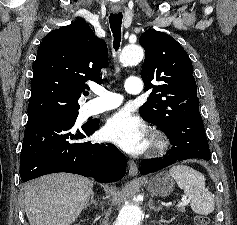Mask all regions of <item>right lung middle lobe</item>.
<instances>
[{
    "label": "right lung middle lobe",
    "instance_id": "right-lung-middle-lobe-1",
    "mask_svg": "<svg viewBox=\"0 0 237 225\" xmlns=\"http://www.w3.org/2000/svg\"><path fill=\"white\" fill-rule=\"evenodd\" d=\"M58 116H59V117L66 118V119H76L77 116H78V112L62 114V115H58Z\"/></svg>",
    "mask_w": 237,
    "mask_h": 225
}]
</instances>
